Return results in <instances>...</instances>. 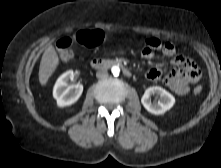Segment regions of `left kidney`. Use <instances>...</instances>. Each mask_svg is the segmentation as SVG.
I'll return each mask as SVG.
<instances>
[{"label": "left kidney", "mask_w": 221, "mask_h": 168, "mask_svg": "<svg viewBox=\"0 0 221 168\" xmlns=\"http://www.w3.org/2000/svg\"><path fill=\"white\" fill-rule=\"evenodd\" d=\"M152 94L158 95L160 100H158V102H151L150 96ZM141 103L149 113L160 115L173 107L175 98L162 87L152 86L145 90V93L141 98Z\"/></svg>", "instance_id": "obj_1"}]
</instances>
